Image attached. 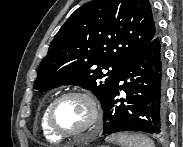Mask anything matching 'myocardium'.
<instances>
[{
	"label": "myocardium",
	"instance_id": "1",
	"mask_svg": "<svg viewBox=\"0 0 183 147\" xmlns=\"http://www.w3.org/2000/svg\"><path fill=\"white\" fill-rule=\"evenodd\" d=\"M68 97H79L82 98L86 101L88 104L90 111H91V118L87 126L82 128L81 130L78 131H71V132H66L60 130L54 123V110L56 106L58 105L59 102H61L63 99L68 98ZM47 125L49 129L58 137L61 138H69V137H77L80 136L86 132L91 131L94 129L102 119V112L100 105L97 101V99L94 97L93 94L83 91V90H72V91H67L62 94H60L58 97H56L49 105L48 110H47Z\"/></svg>",
	"mask_w": 183,
	"mask_h": 147
}]
</instances>
